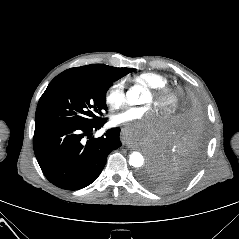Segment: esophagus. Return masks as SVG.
Segmentation results:
<instances>
[{
	"mask_svg": "<svg viewBox=\"0 0 239 239\" xmlns=\"http://www.w3.org/2000/svg\"><path fill=\"white\" fill-rule=\"evenodd\" d=\"M126 135H127V132L125 131V129H122L121 132H120V136L118 137V140H119L120 142H123V144L126 145L127 148H131V147L128 145L127 141H125V136H126Z\"/></svg>",
	"mask_w": 239,
	"mask_h": 239,
	"instance_id": "1",
	"label": "esophagus"
}]
</instances>
